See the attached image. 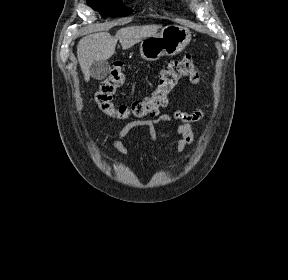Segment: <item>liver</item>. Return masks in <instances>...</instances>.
Masks as SVG:
<instances>
[{
    "mask_svg": "<svg viewBox=\"0 0 288 280\" xmlns=\"http://www.w3.org/2000/svg\"><path fill=\"white\" fill-rule=\"evenodd\" d=\"M160 28L159 25L131 26L121 28L115 36L103 31L83 37L77 46V56L85 81H89L92 63L109 59L115 53L118 40L126 50L142 39L156 35Z\"/></svg>",
    "mask_w": 288,
    "mask_h": 280,
    "instance_id": "6515ba94",
    "label": "liver"
}]
</instances>
